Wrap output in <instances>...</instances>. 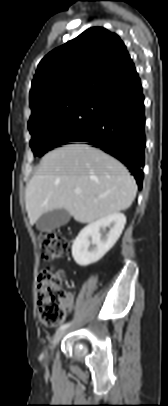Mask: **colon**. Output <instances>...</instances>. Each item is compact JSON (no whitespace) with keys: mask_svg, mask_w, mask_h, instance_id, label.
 I'll return each instance as SVG.
<instances>
[{"mask_svg":"<svg viewBox=\"0 0 168 406\" xmlns=\"http://www.w3.org/2000/svg\"><path fill=\"white\" fill-rule=\"evenodd\" d=\"M41 258L52 261L65 256L70 249L69 241L59 232L45 231L38 235ZM65 275L62 271L49 268L39 273L37 280V310L40 320L46 325H58L64 319V299L62 287Z\"/></svg>","mask_w":168,"mask_h":406,"instance_id":"obj_1","label":"colon"}]
</instances>
